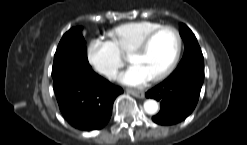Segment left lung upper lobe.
Masks as SVG:
<instances>
[{"label":"left lung upper lobe","mask_w":247,"mask_h":145,"mask_svg":"<svg viewBox=\"0 0 247 145\" xmlns=\"http://www.w3.org/2000/svg\"><path fill=\"white\" fill-rule=\"evenodd\" d=\"M180 35L185 44V52L181 61L188 59H203V54L193 32L185 25L180 24Z\"/></svg>","instance_id":"5c2ea615"}]
</instances>
